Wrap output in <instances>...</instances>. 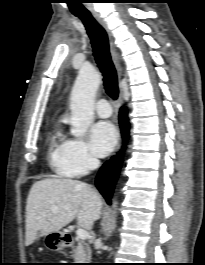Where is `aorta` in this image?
I'll list each match as a JSON object with an SVG mask.
<instances>
[{
	"label": "aorta",
	"instance_id": "762f6f07",
	"mask_svg": "<svg viewBox=\"0 0 205 265\" xmlns=\"http://www.w3.org/2000/svg\"><path fill=\"white\" fill-rule=\"evenodd\" d=\"M100 83L101 76L95 69L82 68L79 71L70 98L71 134L76 138H81L93 121L95 95ZM113 207L116 208L115 202ZM114 224L115 218L113 227Z\"/></svg>",
	"mask_w": 205,
	"mask_h": 265
}]
</instances>
